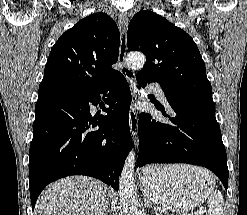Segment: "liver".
<instances>
[{
    "mask_svg": "<svg viewBox=\"0 0 247 215\" xmlns=\"http://www.w3.org/2000/svg\"><path fill=\"white\" fill-rule=\"evenodd\" d=\"M106 192L105 185L94 178L67 177L42 192L35 215H103Z\"/></svg>",
    "mask_w": 247,
    "mask_h": 215,
    "instance_id": "liver-1",
    "label": "liver"
}]
</instances>
